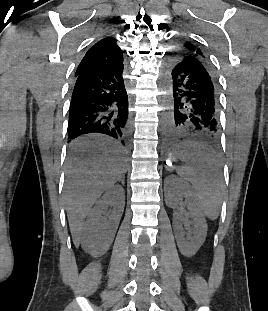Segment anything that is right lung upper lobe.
Listing matches in <instances>:
<instances>
[{
  "label": "right lung upper lobe",
  "instance_id": "1",
  "mask_svg": "<svg viewBox=\"0 0 268 311\" xmlns=\"http://www.w3.org/2000/svg\"><path fill=\"white\" fill-rule=\"evenodd\" d=\"M123 65V55L117 40L113 37H105L94 44L80 62L76 74L109 70Z\"/></svg>",
  "mask_w": 268,
  "mask_h": 311
}]
</instances>
